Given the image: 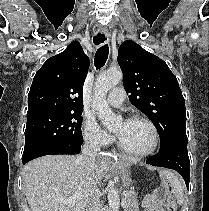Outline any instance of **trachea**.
Wrapping results in <instances>:
<instances>
[{
    "mask_svg": "<svg viewBox=\"0 0 209 211\" xmlns=\"http://www.w3.org/2000/svg\"><path fill=\"white\" fill-rule=\"evenodd\" d=\"M108 54H109L108 44L101 46L97 50V52L95 54V59H94L95 67L97 69H100L105 65L107 58H108Z\"/></svg>",
    "mask_w": 209,
    "mask_h": 211,
    "instance_id": "obj_1",
    "label": "trachea"
}]
</instances>
